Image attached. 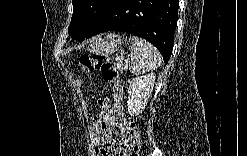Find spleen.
I'll list each match as a JSON object with an SVG mask.
<instances>
[{"mask_svg":"<svg viewBox=\"0 0 247 156\" xmlns=\"http://www.w3.org/2000/svg\"><path fill=\"white\" fill-rule=\"evenodd\" d=\"M130 41L131 69L134 75H139L160 66L161 55L151 43L137 36H132Z\"/></svg>","mask_w":247,"mask_h":156,"instance_id":"spleen-1","label":"spleen"}]
</instances>
